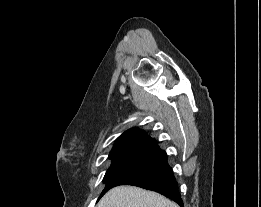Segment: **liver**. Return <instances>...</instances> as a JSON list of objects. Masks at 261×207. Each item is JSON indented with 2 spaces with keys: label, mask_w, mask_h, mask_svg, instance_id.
I'll return each instance as SVG.
<instances>
[{
  "label": "liver",
  "mask_w": 261,
  "mask_h": 207,
  "mask_svg": "<svg viewBox=\"0 0 261 207\" xmlns=\"http://www.w3.org/2000/svg\"><path fill=\"white\" fill-rule=\"evenodd\" d=\"M98 207H179L166 197L135 186H118L108 191Z\"/></svg>",
  "instance_id": "6515ba94"
}]
</instances>
